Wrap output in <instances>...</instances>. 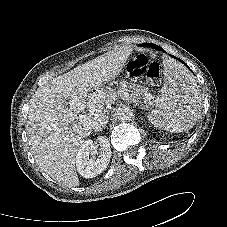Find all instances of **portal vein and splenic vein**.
Here are the masks:
<instances>
[{
	"label": "portal vein and splenic vein",
	"mask_w": 227,
	"mask_h": 227,
	"mask_svg": "<svg viewBox=\"0 0 227 227\" xmlns=\"http://www.w3.org/2000/svg\"><path fill=\"white\" fill-rule=\"evenodd\" d=\"M127 96H128L127 94H120V97L122 99L126 98ZM145 99L150 101L152 99V95L148 93ZM78 119H79L78 125L80 126H85L90 124V116H88L87 114H80Z\"/></svg>",
	"instance_id": "obj_1"
}]
</instances>
